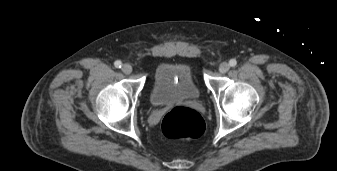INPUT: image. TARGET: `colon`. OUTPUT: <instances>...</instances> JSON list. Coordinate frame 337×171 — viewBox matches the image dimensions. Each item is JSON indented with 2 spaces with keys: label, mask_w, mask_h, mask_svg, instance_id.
Wrapping results in <instances>:
<instances>
[{
  "label": "colon",
  "mask_w": 337,
  "mask_h": 171,
  "mask_svg": "<svg viewBox=\"0 0 337 171\" xmlns=\"http://www.w3.org/2000/svg\"><path fill=\"white\" fill-rule=\"evenodd\" d=\"M163 134L170 139L187 140L200 137L205 130L201 115L187 107H176L162 120Z\"/></svg>",
  "instance_id": "5ec220e1"
}]
</instances>
